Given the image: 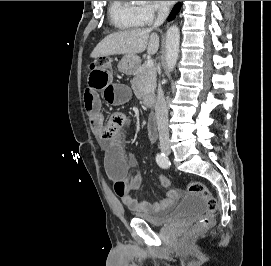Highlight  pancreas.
I'll list each match as a JSON object with an SVG mask.
<instances>
[{
	"label": "pancreas",
	"mask_w": 271,
	"mask_h": 266,
	"mask_svg": "<svg viewBox=\"0 0 271 266\" xmlns=\"http://www.w3.org/2000/svg\"><path fill=\"white\" fill-rule=\"evenodd\" d=\"M131 86L137 98H144L153 93L156 88V68L147 66V63L139 65L134 71Z\"/></svg>",
	"instance_id": "cf45deb5"
}]
</instances>
